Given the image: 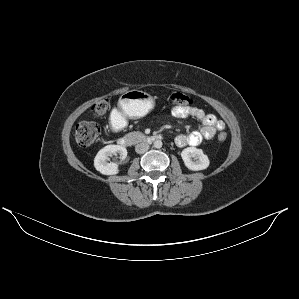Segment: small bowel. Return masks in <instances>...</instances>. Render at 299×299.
Segmentation results:
<instances>
[{"instance_id": "small-bowel-1", "label": "small bowel", "mask_w": 299, "mask_h": 299, "mask_svg": "<svg viewBox=\"0 0 299 299\" xmlns=\"http://www.w3.org/2000/svg\"><path fill=\"white\" fill-rule=\"evenodd\" d=\"M171 113L176 118L192 117L202 124L199 131L190 134H181L176 138V144L179 147L198 146L204 140L211 139L216 133L222 132L226 125L224 121L218 119L215 115L206 113L204 110L193 107H173Z\"/></svg>"}]
</instances>
